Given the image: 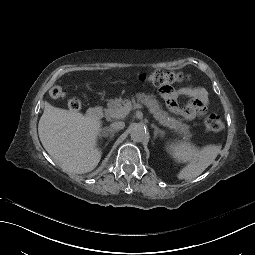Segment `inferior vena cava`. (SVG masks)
<instances>
[{
  "label": "inferior vena cava",
  "mask_w": 255,
  "mask_h": 255,
  "mask_svg": "<svg viewBox=\"0 0 255 255\" xmlns=\"http://www.w3.org/2000/svg\"><path fill=\"white\" fill-rule=\"evenodd\" d=\"M125 127V123L122 121L113 122L111 128L114 130H121Z\"/></svg>",
  "instance_id": "obj_1"
}]
</instances>
